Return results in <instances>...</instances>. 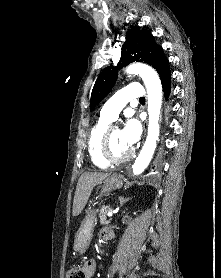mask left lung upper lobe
Wrapping results in <instances>:
<instances>
[{"mask_svg":"<svg viewBox=\"0 0 221 278\" xmlns=\"http://www.w3.org/2000/svg\"><path fill=\"white\" fill-rule=\"evenodd\" d=\"M134 61L145 62L155 68L157 72L168 63L162 47L155 43L151 33L139 28L128 30L118 66L106 67L94 84L91 94V110L109 94L116 82L118 70Z\"/></svg>","mask_w":221,"mask_h":278,"instance_id":"1","label":"left lung upper lobe"}]
</instances>
